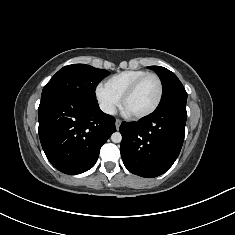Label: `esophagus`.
Here are the masks:
<instances>
[{
    "label": "esophagus",
    "mask_w": 235,
    "mask_h": 235,
    "mask_svg": "<svg viewBox=\"0 0 235 235\" xmlns=\"http://www.w3.org/2000/svg\"><path fill=\"white\" fill-rule=\"evenodd\" d=\"M121 120L120 119H116V121H115V125H116V129L118 130L119 129V127H120V125H121Z\"/></svg>",
    "instance_id": "34e87169"
}]
</instances>
